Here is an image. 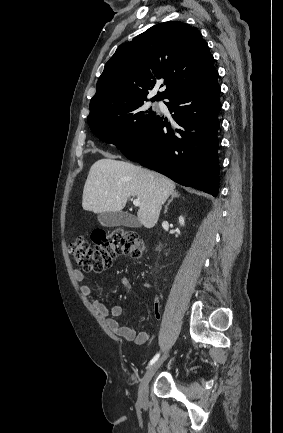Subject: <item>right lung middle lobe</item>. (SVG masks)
Returning a JSON list of instances; mask_svg holds the SVG:
<instances>
[{"instance_id": "dd1d6c3e", "label": "right lung middle lobe", "mask_w": 283, "mask_h": 433, "mask_svg": "<svg viewBox=\"0 0 283 433\" xmlns=\"http://www.w3.org/2000/svg\"><path fill=\"white\" fill-rule=\"evenodd\" d=\"M144 101L117 105L88 116L93 134L125 151L138 141L156 116L152 108L145 109Z\"/></svg>"}]
</instances>
